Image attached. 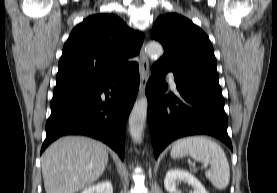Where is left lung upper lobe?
<instances>
[{"mask_svg":"<svg viewBox=\"0 0 277 193\" xmlns=\"http://www.w3.org/2000/svg\"><path fill=\"white\" fill-rule=\"evenodd\" d=\"M151 37L164 48V55L154 65L172 71L175 77L218 78L212 44L189 19L175 13L160 16Z\"/></svg>","mask_w":277,"mask_h":193,"instance_id":"1","label":"left lung upper lobe"}]
</instances>
